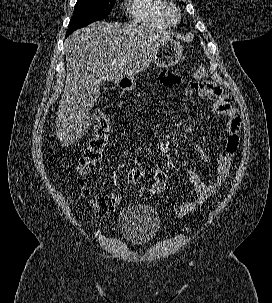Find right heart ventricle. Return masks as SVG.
<instances>
[{
	"instance_id": "e07e8e85",
	"label": "right heart ventricle",
	"mask_w": 272,
	"mask_h": 303,
	"mask_svg": "<svg viewBox=\"0 0 272 303\" xmlns=\"http://www.w3.org/2000/svg\"><path fill=\"white\" fill-rule=\"evenodd\" d=\"M166 7L164 0H131L130 15L139 25L166 29L170 25L165 17Z\"/></svg>"
}]
</instances>
